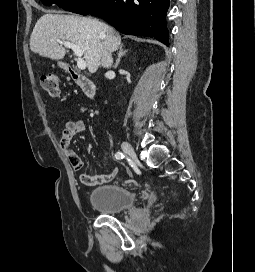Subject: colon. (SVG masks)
I'll return each instance as SVG.
<instances>
[{
    "label": "colon",
    "instance_id": "1",
    "mask_svg": "<svg viewBox=\"0 0 255 272\" xmlns=\"http://www.w3.org/2000/svg\"><path fill=\"white\" fill-rule=\"evenodd\" d=\"M41 87L52 98H58L60 94V77L56 73H47L41 76Z\"/></svg>",
    "mask_w": 255,
    "mask_h": 272
}]
</instances>
